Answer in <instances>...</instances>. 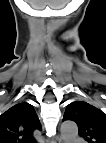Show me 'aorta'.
Wrapping results in <instances>:
<instances>
[{"instance_id": "1", "label": "aorta", "mask_w": 106, "mask_h": 143, "mask_svg": "<svg viewBox=\"0 0 106 143\" xmlns=\"http://www.w3.org/2000/svg\"><path fill=\"white\" fill-rule=\"evenodd\" d=\"M78 136V127L73 121H65L61 125V140L63 143H73Z\"/></svg>"}]
</instances>
